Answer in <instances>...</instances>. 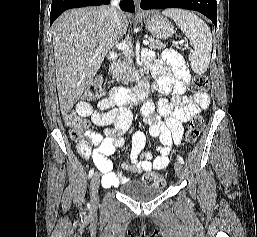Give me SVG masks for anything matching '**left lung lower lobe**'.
I'll return each mask as SVG.
<instances>
[{"mask_svg":"<svg viewBox=\"0 0 257 237\" xmlns=\"http://www.w3.org/2000/svg\"><path fill=\"white\" fill-rule=\"evenodd\" d=\"M142 9L184 8L198 11L207 16L217 26L216 0H141Z\"/></svg>","mask_w":257,"mask_h":237,"instance_id":"obj_1","label":"left lung lower lobe"}]
</instances>
